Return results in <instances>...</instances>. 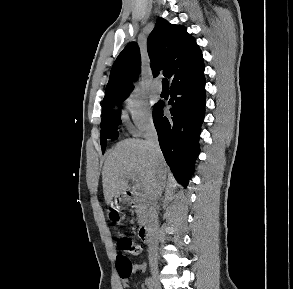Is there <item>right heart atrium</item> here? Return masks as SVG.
<instances>
[{"label":"right heart atrium","instance_id":"1","mask_svg":"<svg viewBox=\"0 0 293 289\" xmlns=\"http://www.w3.org/2000/svg\"><path fill=\"white\" fill-rule=\"evenodd\" d=\"M129 118V128L135 135H142L153 127V116L147 99L137 93H130L124 101Z\"/></svg>","mask_w":293,"mask_h":289}]
</instances>
